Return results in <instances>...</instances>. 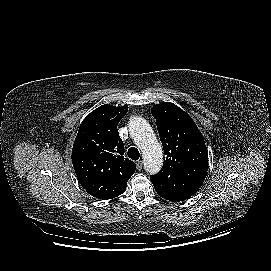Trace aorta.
<instances>
[{
    "mask_svg": "<svg viewBox=\"0 0 271 271\" xmlns=\"http://www.w3.org/2000/svg\"><path fill=\"white\" fill-rule=\"evenodd\" d=\"M130 136L141 149L143 165L150 174L160 171L163 164V151L150 124L141 117H132L129 121Z\"/></svg>",
    "mask_w": 271,
    "mask_h": 271,
    "instance_id": "1",
    "label": "aorta"
}]
</instances>
